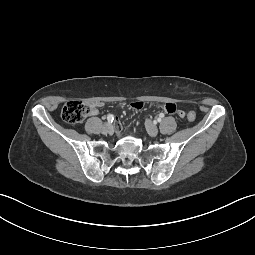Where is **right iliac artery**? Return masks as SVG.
Listing matches in <instances>:
<instances>
[{
    "label": "right iliac artery",
    "instance_id": "right-iliac-artery-1",
    "mask_svg": "<svg viewBox=\"0 0 255 255\" xmlns=\"http://www.w3.org/2000/svg\"><path fill=\"white\" fill-rule=\"evenodd\" d=\"M107 120H108V122H112L114 120V115L113 114H109L107 116Z\"/></svg>",
    "mask_w": 255,
    "mask_h": 255
}]
</instances>
